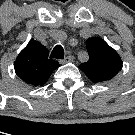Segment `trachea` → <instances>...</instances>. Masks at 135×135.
<instances>
[{"label":"trachea","mask_w":135,"mask_h":135,"mask_svg":"<svg viewBox=\"0 0 135 135\" xmlns=\"http://www.w3.org/2000/svg\"><path fill=\"white\" fill-rule=\"evenodd\" d=\"M50 58L64 59V49L61 45H57L51 52Z\"/></svg>","instance_id":"1"}]
</instances>
